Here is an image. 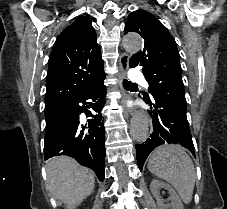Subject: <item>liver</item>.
Masks as SVG:
<instances>
[{"label":"liver","mask_w":227,"mask_h":209,"mask_svg":"<svg viewBox=\"0 0 227 209\" xmlns=\"http://www.w3.org/2000/svg\"><path fill=\"white\" fill-rule=\"evenodd\" d=\"M47 189L65 203L66 209H76L85 197L93 193L95 177L92 171L80 167L70 157L50 159L46 167Z\"/></svg>","instance_id":"1"}]
</instances>
